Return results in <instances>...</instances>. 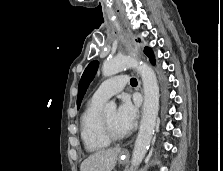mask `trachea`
I'll return each mask as SVG.
<instances>
[{
  "mask_svg": "<svg viewBox=\"0 0 223 171\" xmlns=\"http://www.w3.org/2000/svg\"><path fill=\"white\" fill-rule=\"evenodd\" d=\"M130 84H137V80L135 79V78H131V80H130Z\"/></svg>",
  "mask_w": 223,
  "mask_h": 171,
  "instance_id": "trachea-1",
  "label": "trachea"
}]
</instances>
